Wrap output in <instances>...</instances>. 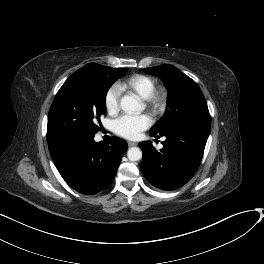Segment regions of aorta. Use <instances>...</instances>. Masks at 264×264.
Returning <instances> with one entry per match:
<instances>
[{"mask_svg": "<svg viewBox=\"0 0 264 264\" xmlns=\"http://www.w3.org/2000/svg\"><path fill=\"white\" fill-rule=\"evenodd\" d=\"M120 105L128 114H139L143 110V104L136 95L122 97ZM127 157L130 161H138L142 158V151L138 147H131L127 151Z\"/></svg>", "mask_w": 264, "mask_h": 264, "instance_id": "aorta-1", "label": "aorta"}]
</instances>
